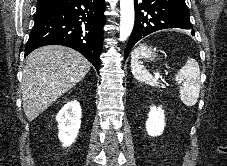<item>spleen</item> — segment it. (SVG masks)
I'll return each instance as SVG.
<instances>
[{"mask_svg":"<svg viewBox=\"0 0 227 166\" xmlns=\"http://www.w3.org/2000/svg\"><path fill=\"white\" fill-rule=\"evenodd\" d=\"M131 71L134 78L140 82L157 86L159 83L139 61V49L136 48L131 53ZM175 80L182 82L180 86V99L188 107L196 104L201 88L200 68L198 62L193 58H188L187 62L175 75Z\"/></svg>","mask_w":227,"mask_h":166,"instance_id":"3e777b00","label":"spleen"}]
</instances>
